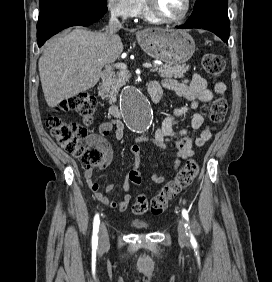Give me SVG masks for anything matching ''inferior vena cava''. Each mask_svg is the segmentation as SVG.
<instances>
[{
    "label": "inferior vena cava",
    "mask_w": 272,
    "mask_h": 282,
    "mask_svg": "<svg viewBox=\"0 0 272 282\" xmlns=\"http://www.w3.org/2000/svg\"><path fill=\"white\" fill-rule=\"evenodd\" d=\"M122 24L118 20V14L115 11H111V17L109 19V23L106 31L110 36L114 35L119 29H121Z\"/></svg>",
    "instance_id": "inferior-vena-cava-1"
}]
</instances>
